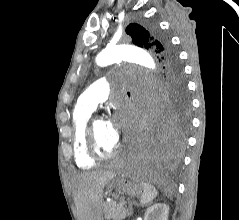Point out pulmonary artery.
<instances>
[{"label":"pulmonary artery","mask_w":239,"mask_h":220,"mask_svg":"<svg viewBox=\"0 0 239 220\" xmlns=\"http://www.w3.org/2000/svg\"><path fill=\"white\" fill-rule=\"evenodd\" d=\"M110 84L105 78L92 83L79 97L78 103L95 109L98 104L106 101L109 96Z\"/></svg>","instance_id":"1"}]
</instances>
